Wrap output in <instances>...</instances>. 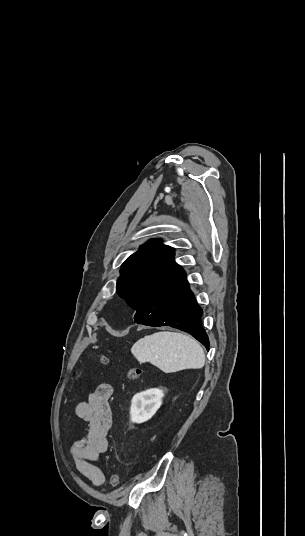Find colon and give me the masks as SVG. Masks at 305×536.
<instances>
[{"label": "colon", "mask_w": 305, "mask_h": 536, "mask_svg": "<svg viewBox=\"0 0 305 536\" xmlns=\"http://www.w3.org/2000/svg\"><path fill=\"white\" fill-rule=\"evenodd\" d=\"M102 362L108 363L109 359L106 356L101 357ZM142 375V371L138 367H130L126 370V376L129 380H137ZM110 483L113 487H116L119 483V477L116 473H111Z\"/></svg>", "instance_id": "colon-1"}]
</instances>
